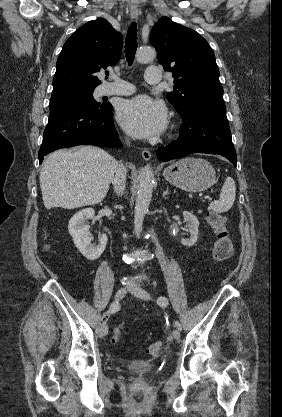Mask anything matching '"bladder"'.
Returning a JSON list of instances; mask_svg holds the SVG:
<instances>
[{"label": "bladder", "instance_id": "bladder-1", "mask_svg": "<svg viewBox=\"0 0 282 417\" xmlns=\"http://www.w3.org/2000/svg\"><path fill=\"white\" fill-rule=\"evenodd\" d=\"M125 370L133 375L150 377L155 374L156 367L149 361L133 359L126 364Z\"/></svg>", "mask_w": 282, "mask_h": 417}]
</instances>
